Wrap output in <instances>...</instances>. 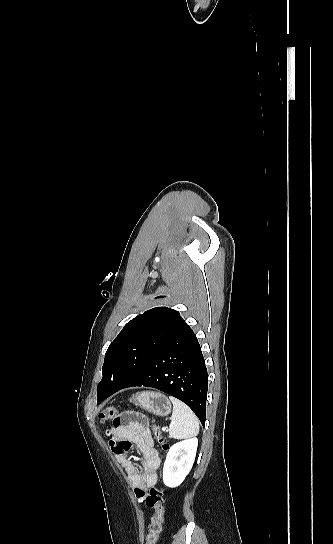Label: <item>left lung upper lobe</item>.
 <instances>
[{"mask_svg":"<svg viewBox=\"0 0 333 544\" xmlns=\"http://www.w3.org/2000/svg\"><path fill=\"white\" fill-rule=\"evenodd\" d=\"M184 323L179 312L166 307L130 320L106 351L97 393L113 392L131 382Z\"/></svg>","mask_w":333,"mask_h":544,"instance_id":"1","label":"left lung upper lobe"}]
</instances>
